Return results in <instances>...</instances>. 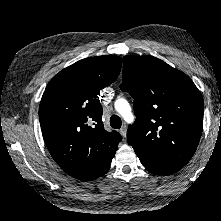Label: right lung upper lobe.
<instances>
[{
  "label": "right lung upper lobe",
  "instance_id": "1",
  "mask_svg": "<svg viewBox=\"0 0 221 221\" xmlns=\"http://www.w3.org/2000/svg\"><path fill=\"white\" fill-rule=\"evenodd\" d=\"M122 59L106 55L82 59L54 76L39 106L45 144L55 162L70 176L93 180L106 174L122 140L102 122L100 90L113 83Z\"/></svg>",
  "mask_w": 221,
  "mask_h": 221
}]
</instances>
